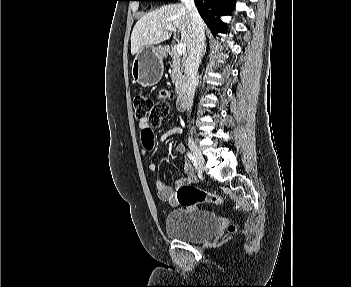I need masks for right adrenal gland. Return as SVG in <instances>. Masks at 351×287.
I'll return each instance as SVG.
<instances>
[{
	"label": "right adrenal gland",
	"instance_id": "obj_1",
	"mask_svg": "<svg viewBox=\"0 0 351 287\" xmlns=\"http://www.w3.org/2000/svg\"><path fill=\"white\" fill-rule=\"evenodd\" d=\"M205 52H206V45L204 46V50H203V53H202V57L205 55Z\"/></svg>",
	"mask_w": 351,
	"mask_h": 287
}]
</instances>
